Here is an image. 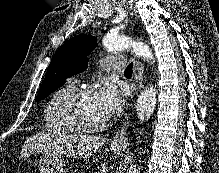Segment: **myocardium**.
Wrapping results in <instances>:
<instances>
[{"label":"myocardium","instance_id":"f54148a6","mask_svg":"<svg viewBox=\"0 0 219 173\" xmlns=\"http://www.w3.org/2000/svg\"><path fill=\"white\" fill-rule=\"evenodd\" d=\"M95 93V89L90 86L76 89L64 102L62 112L65 122L78 133H95L103 130L109 122L106 118L101 123L96 125L84 124L77 116L76 107L78 103L86 96Z\"/></svg>","mask_w":219,"mask_h":173}]
</instances>
